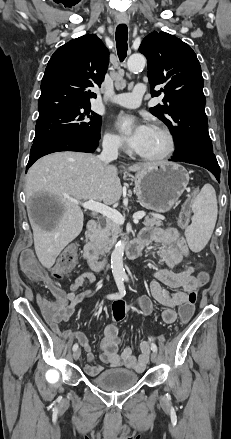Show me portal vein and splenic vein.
Listing matches in <instances>:
<instances>
[{"label": "portal vein and splenic vein", "mask_w": 231, "mask_h": 439, "mask_svg": "<svg viewBox=\"0 0 231 439\" xmlns=\"http://www.w3.org/2000/svg\"><path fill=\"white\" fill-rule=\"evenodd\" d=\"M73 203L77 205H81L83 208L91 210L94 213L102 214L107 218L111 219L113 222L122 225L124 224L125 217L115 209L110 208L109 206L102 204L100 202L94 201L93 199H89L86 202L81 203L77 200H71ZM145 216V212H138L133 215V221L137 222Z\"/></svg>", "instance_id": "18ae733b"}]
</instances>
